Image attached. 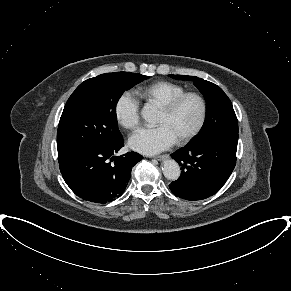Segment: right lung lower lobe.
<instances>
[{
    "label": "right lung lower lobe",
    "mask_w": 291,
    "mask_h": 291,
    "mask_svg": "<svg viewBox=\"0 0 291 291\" xmlns=\"http://www.w3.org/2000/svg\"><path fill=\"white\" fill-rule=\"evenodd\" d=\"M123 146L121 138L108 146L80 151L59 163L66 184L77 196L91 202L103 204L121 196L132 167L143 159L133 151L113 156Z\"/></svg>",
    "instance_id": "obj_1"
}]
</instances>
